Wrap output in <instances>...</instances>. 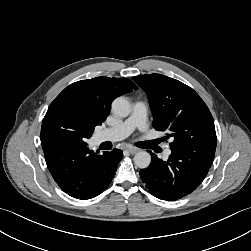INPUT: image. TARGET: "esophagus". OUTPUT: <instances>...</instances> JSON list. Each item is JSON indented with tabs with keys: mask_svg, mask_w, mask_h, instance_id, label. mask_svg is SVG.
Here are the masks:
<instances>
[{
	"mask_svg": "<svg viewBox=\"0 0 251 251\" xmlns=\"http://www.w3.org/2000/svg\"><path fill=\"white\" fill-rule=\"evenodd\" d=\"M126 150L130 153V154H136L139 149L135 148V147H127Z\"/></svg>",
	"mask_w": 251,
	"mask_h": 251,
	"instance_id": "1",
	"label": "esophagus"
}]
</instances>
